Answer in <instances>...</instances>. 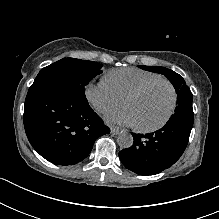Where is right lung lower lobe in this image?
Here are the masks:
<instances>
[{"instance_id": "98d812e1", "label": "right lung lower lobe", "mask_w": 219, "mask_h": 219, "mask_svg": "<svg viewBox=\"0 0 219 219\" xmlns=\"http://www.w3.org/2000/svg\"><path fill=\"white\" fill-rule=\"evenodd\" d=\"M24 128L33 148L57 165H74L91 152L95 140L110 133L87 99L53 86L30 88Z\"/></svg>"}]
</instances>
